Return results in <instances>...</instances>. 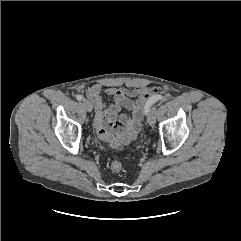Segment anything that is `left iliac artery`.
Instances as JSON below:
<instances>
[{
	"instance_id": "1",
	"label": "left iliac artery",
	"mask_w": 241,
	"mask_h": 241,
	"mask_svg": "<svg viewBox=\"0 0 241 241\" xmlns=\"http://www.w3.org/2000/svg\"><path fill=\"white\" fill-rule=\"evenodd\" d=\"M158 100L164 101V100H165V97L159 95V96H157L154 100H152V102L146 106V108H145V114H148L152 103H154V102H156V101H158Z\"/></svg>"
}]
</instances>
